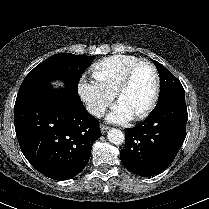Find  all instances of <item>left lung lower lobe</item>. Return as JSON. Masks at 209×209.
Here are the masks:
<instances>
[{"label": "left lung lower lobe", "mask_w": 209, "mask_h": 209, "mask_svg": "<svg viewBox=\"0 0 209 209\" xmlns=\"http://www.w3.org/2000/svg\"><path fill=\"white\" fill-rule=\"evenodd\" d=\"M185 94L158 101L152 114L138 126L125 130L120 151L123 165L142 177L154 176L174 160L186 137Z\"/></svg>", "instance_id": "0a47b994"}]
</instances>
